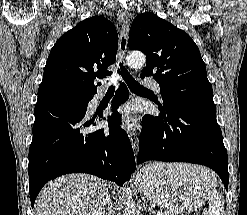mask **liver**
I'll list each match as a JSON object with an SVG mask.
<instances>
[{
	"mask_svg": "<svg viewBox=\"0 0 247 215\" xmlns=\"http://www.w3.org/2000/svg\"><path fill=\"white\" fill-rule=\"evenodd\" d=\"M108 192L107 183L96 176L69 174L42 189L35 215H105Z\"/></svg>",
	"mask_w": 247,
	"mask_h": 215,
	"instance_id": "obj_1",
	"label": "liver"
}]
</instances>
